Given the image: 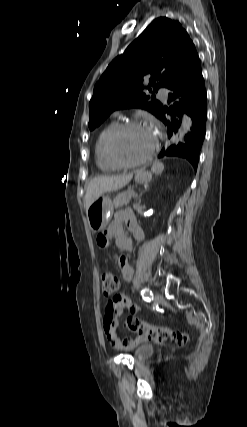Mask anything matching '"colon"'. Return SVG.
<instances>
[{
    "label": "colon",
    "mask_w": 247,
    "mask_h": 427,
    "mask_svg": "<svg viewBox=\"0 0 247 427\" xmlns=\"http://www.w3.org/2000/svg\"><path fill=\"white\" fill-rule=\"evenodd\" d=\"M119 286L117 276L112 272H104L102 274V292L105 295L114 293ZM127 328L139 337L145 340L163 342L173 340L179 345H183L188 341V335L185 332L175 330L166 326H156L148 324L136 317H129L126 320Z\"/></svg>",
    "instance_id": "colon-1"
}]
</instances>
